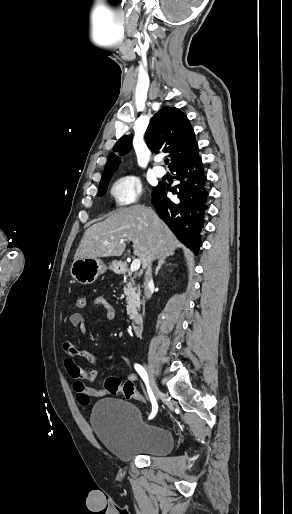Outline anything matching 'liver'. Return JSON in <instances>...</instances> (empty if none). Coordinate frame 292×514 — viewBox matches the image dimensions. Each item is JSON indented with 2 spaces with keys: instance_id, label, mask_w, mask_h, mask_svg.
I'll return each mask as SVG.
<instances>
[{
  "instance_id": "liver-1",
  "label": "liver",
  "mask_w": 292,
  "mask_h": 514,
  "mask_svg": "<svg viewBox=\"0 0 292 514\" xmlns=\"http://www.w3.org/2000/svg\"><path fill=\"white\" fill-rule=\"evenodd\" d=\"M120 240L133 242V254L140 258L143 270L148 268L152 260L173 256L175 248L179 246L174 234L153 210L130 206L120 208L109 214L104 222L90 226L79 244L74 260L122 256L126 244Z\"/></svg>"
}]
</instances>
